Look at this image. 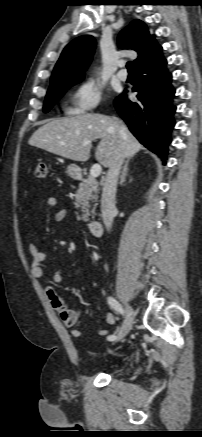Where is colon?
Returning a JSON list of instances; mask_svg holds the SVG:
<instances>
[{"instance_id": "obj_1", "label": "colon", "mask_w": 202, "mask_h": 437, "mask_svg": "<svg viewBox=\"0 0 202 437\" xmlns=\"http://www.w3.org/2000/svg\"><path fill=\"white\" fill-rule=\"evenodd\" d=\"M48 169L47 165L44 162L37 163L35 167V176L37 178H45L47 176Z\"/></svg>"}]
</instances>
